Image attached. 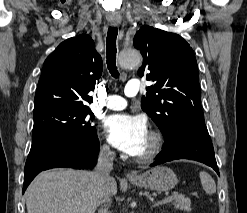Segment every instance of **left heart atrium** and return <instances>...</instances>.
I'll return each instance as SVG.
<instances>
[{"mask_svg":"<svg viewBox=\"0 0 247 213\" xmlns=\"http://www.w3.org/2000/svg\"><path fill=\"white\" fill-rule=\"evenodd\" d=\"M104 127L113 145L132 156L141 153L149 135L145 119L129 114L107 117Z\"/></svg>","mask_w":247,"mask_h":213,"instance_id":"obj_1","label":"left heart atrium"}]
</instances>
